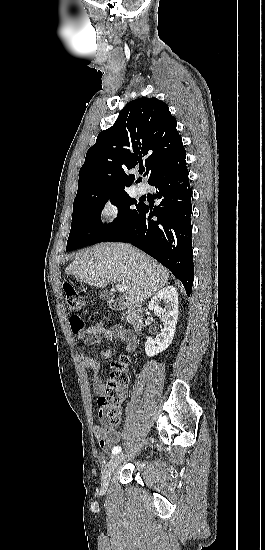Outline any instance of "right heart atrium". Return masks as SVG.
<instances>
[{"instance_id":"right-heart-atrium-1","label":"right heart atrium","mask_w":265,"mask_h":550,"mask_svg":"<svg viewBox=\"0 0 265 550\" xmlns=\"http://www.w3.org/2000/svg\"><path fill=\"white\" fill-rule=\"evenodd\" d=\"M100 216L105 225L117 222L121 216L120 204L113 198L108 199L101 208Z\"/></svg>"}]
</instances>
